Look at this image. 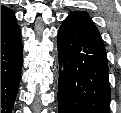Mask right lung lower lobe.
Segmentation results:
<instances>
[{
	"label": "right lung lower lobe",
	"mask_w": 121,
	"mask_h": 113,
	"mask_svg": "<svg viewBox=\"0 0 121 113\" xmlns=\"http://www.w3.org/2000/svg\"><path fill=\"white\" fill-rule=\"evenodd\" d=\"M22 43L17 23L1 33V113H11L21 78Z\"/></svg>",
	"instance_id": "1"
}]
</instances>
